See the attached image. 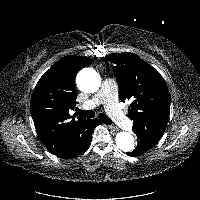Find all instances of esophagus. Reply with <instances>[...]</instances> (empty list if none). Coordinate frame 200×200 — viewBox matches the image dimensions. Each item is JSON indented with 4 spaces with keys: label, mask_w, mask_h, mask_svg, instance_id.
I'll return each mask as SVG.
<instances>
[{
    "label": "esophagus",
    "mask_w": 200,
    "mask_h": 200,
    "mask_svg": "<svg viewBox=\"0 0 200 200\" xmlns=\"http://www.w3.org/2000/svg\"><path fill=\"white\" fill-rule=\"evenodd\" d=\"M109 129H110L112 132L118 131V128L115 127V126H112V125H109Z\"/></svg>",
    "instance_id": "esophagus-1"
}]
</instances>
